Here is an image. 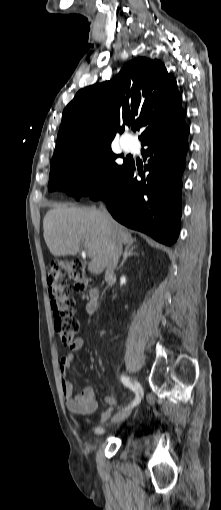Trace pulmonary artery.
Here are the masks:
<instances>
[{"label": "pulmonary artery", "instance_id": "pulmonary-artery-1", "mask_svg": "<svg viewBox=\"0 0 221 510\" xmlns=\"http://www.w3.org/2000/svg\"><path fill=\"white\" fill-rule=\"evenodd\" d=\"M124 148H125L126 150H131V149H132V145H131V144H129V143H124Z\"/></svg>", "mask_w": 221, "mask_h": 510}]
</instances>
